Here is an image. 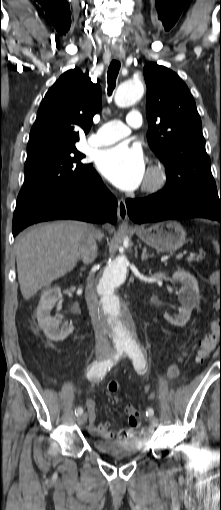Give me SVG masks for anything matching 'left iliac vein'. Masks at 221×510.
Returning <instances> with one entry per match:
<instances>
[{"instance_id": "1", "label": "left iliac vein", "mask_w": 221, "mask_h": 510, "mask_svg": "<svg viewBox=\"0 0 221 510\" xmlns=\"http://www.w3.org/2000/svg\"><path fill=\"white\" fill-rule=\"evenodd\" d=\"M148 422H149L150 426L153 428L158 426V419L155 416H150L148 418Z\"/></svg>"}]
</instances>
